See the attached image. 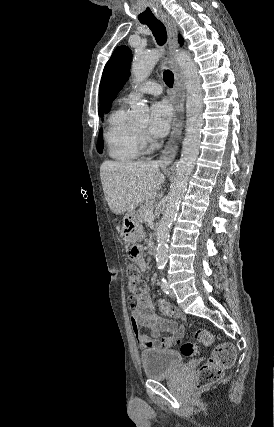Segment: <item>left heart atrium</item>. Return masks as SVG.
I'll return each mask as SVG.
<instances>
[{"label": "left heart atrium", "mask_w": 274, "mask_h": 427, "mask_svg": "<svg viewBox=\"0 0 274 427\" xmlns=\"http://www.w3.org/2000/svg\"><path fill=\"white\" fill-rule=\"evenodd\" d=\"M173 111L167 101H158L150 109V121L147 126L149 135L154 138L165 136L171 125Z\"/></svg>", "instance_id": "left-heart-atrium-1"}]
</instances>
